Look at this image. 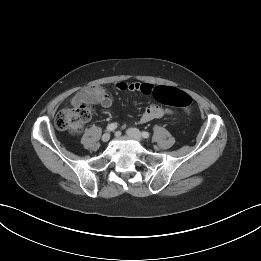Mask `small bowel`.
I'll list each match as a JSON object with an SVG mask.
<instances>
[{"label": "small bowel", "instance_id": "c3829d8e", "mask_svg": "<svg viewBox=\"0 0 261 261\" xmlns=\"http://www.w3.org/2000/svg\"><path fill=\"white\" fill-rule=\"evenodd\" d=\"M116 89L119 91L141 92L144 94H151L154 91L153 85L145 82H118ZM99 103L102 107L109 109L113 105L111 94L102 86H92L78 91L71 99L73 105L82 103ZM172 110L162 108L158 105H150L141 114L140 123H147L151 120L161 118L165 115H171Z\"/></svg>", "mask_w": 261, "mask_h": 261}]
</instances>
